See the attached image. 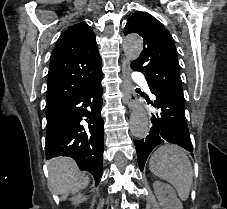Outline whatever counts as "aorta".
Listing matches in <instances>:
<instances>
[{"label":"aorta","mask_w":227,"mask_h":209,"mask_svg":"<svg viewBox=\"0 0 227 209\" xmlns=\"http://www.w3.org/2000/svg\"><path fill=\"white\" fill-rule=\"evenodd\" d=\"M123 49L126 57L136 60L143 50V40L138 35H129L124 39ZM131 134L137 138H145L149 130V117L143 107L137 106L130 118Z\"/></svg>","instance_id":"obj_1"}]
</instances>
